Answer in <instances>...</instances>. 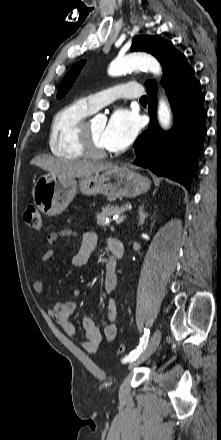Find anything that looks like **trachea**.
<instances>
[{
	"label": "trachea",
	"mask_w": 221,
	"mask_h": 440,
	"mask_svg": "<svg viewBox=\"0 0 221 440\" xmlns=\"http://www.w3.org/2000/svg\"><path fill=\"white\" fill-rule=\"evenodd\" d=\"M140 102H147V97L146 96L141 97Z\"/></svg>",
	"instance_id": "trachea-1"
}]
</instances>
